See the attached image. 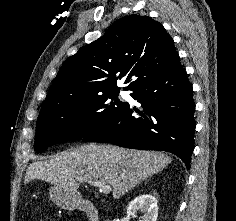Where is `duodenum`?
Listing matches in <instances>:
<instances>
[{
	"mask_svg": "<svg viewBox=\"0 0 236 221\" xmlns=\"http://www.w3.org/2000/svg\"><path fill=\"white\" fill-rule=\"evenodd\" d=\"M80 209L86 214L88 221H100L98 210L91 201H83Z\"/></svg>",
	"mask_w": 236,
	"mask_h": 221,
	"instance_id": "duodenum-1",
	"label": "duodenum"
}]
</instances>
